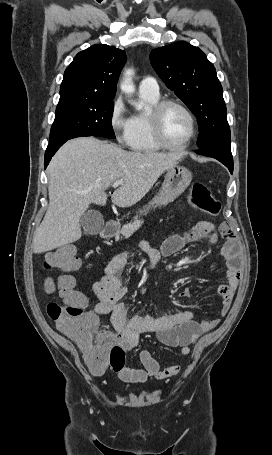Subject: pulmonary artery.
I'll return each instance as SVG.
<instances>
[{
  "instance_id": "1",
  "label": "pulmonary artery",
  "mask_w": 272,
  "mask_h": 455,
  "mask_svg": "<svg viewBox=\"0 0 272 455\" xmlns=\"http://www.w3.org/2000/svg\"><path fill=\"white\" fill-rule=\"evenodd\" d=\"M139 92L150 95H158L159 86L157 81L153 77L143 78L139 83Z\"/></svg>"
}]
</instances>
